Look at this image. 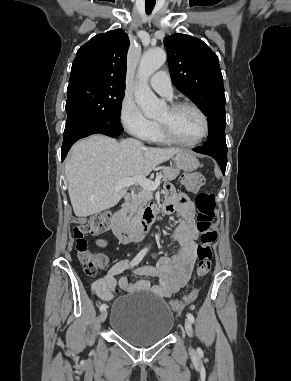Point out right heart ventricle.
I'll use <instances>...</instances> for the list:
<instances>
[{"label": "right heart ventricle", "instance_id": "right-heart-ventricle-1", "mask_svg": "<svg viewBox=\"0 0 291 381\" xmlns=\"http://www.w3.org/2000/svg\"><path fill=\"white\" fill-rule=\"evenodd\" d=\"M148 141L157 142V143H167L168 141L160 134L157 125L151 135L147 138Z\"/></svg>", "mask_w": 291, "mask_h": 381}]
</instances>
